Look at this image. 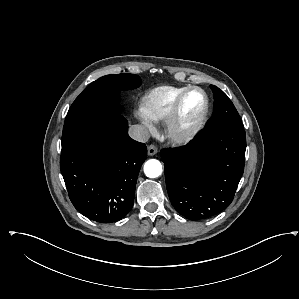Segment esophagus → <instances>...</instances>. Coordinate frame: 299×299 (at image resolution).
I'll return each instance as SVG.
<instances>
[{"label":"esophagus","instance_id":"34e87169","mask_svg":"<svg viewBox=\"0 0 299 299\" xmlns=\"http://www.w3.org/2000/svg\"><path fill=\"white\" fill-rule=\"evenodd\" d=\"M157 152H158V148H157L154 144H151V145L148 147V155H149V156H153V155H155Z\"/></svg>","mask_w":299,"mask_h":299}]
</instances>
